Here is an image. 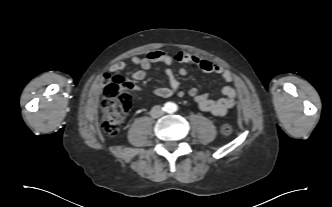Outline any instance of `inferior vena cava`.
<instances>
[{
    "instance_id": "1",
    "label": "inferior vena cava",
    "mask_w": 332,
    "mask_h": 207,
    "mask_svg": "<svg viewBox=\"0 0 332 207\" xmlns=\"http://www.w3.org/2000/svg\"><path fill=\"white\" fill-rule=\"evenodd\" d=\"M150 114L153 118H158L164 114V111L161 106L156 105L151 109Z\"/></svg>"
}]
</instances>
